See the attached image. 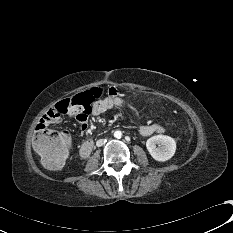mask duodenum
Here are the masks:
<instances>
[{
	"label": "duodenum",
	"instance_id": "duodenum-1",
	"mask_svg": "<svg viewBox=\"0 0 233 233\" xmlns=\"http://www.w3.org/2000/svg\"><path fill=\"white\" fill-rule=\"evenodd\" d=\"M89 155H87V156H84V155H82V157H84V158H86V157H88Z\"/></svg>",
	"mask_w": 233,
	"mask_h": 233
}]
</instances>
